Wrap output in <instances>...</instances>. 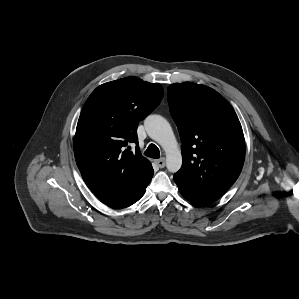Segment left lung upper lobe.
I'll return each instance as SVG.
<instances>
[{
    "instance_id": "left-lung-upper-lobe-1",
    "label": "left lung upper lobe",
    "mask_w": 299,
    "mask_h": 299,
    "mask_svg": "<svg viewBox=\"0 0 299 299\" xmlns=\"http://www.w3.org/2000/svg\"><path fill=\"white\" fill-rule=\"evenodd\" d=\"M168 103L182 141V167L174 177L221 197L238 178L245 158L234 109L212 88L191 82L171 84Z\"/></svg>"
}]
</instances>
